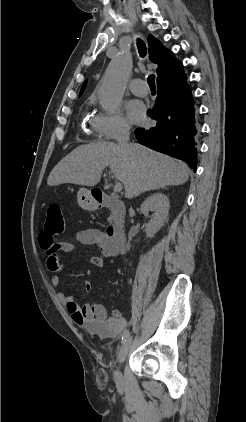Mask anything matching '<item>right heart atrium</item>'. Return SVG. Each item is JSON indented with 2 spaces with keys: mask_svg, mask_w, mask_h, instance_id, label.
Instances as JSON below:
<instances>
[{
  "mask_svg": "<svg viewBox=\"0 0 246 422\" xmlns=\"http://www.w3.org/2000/svg\"><path fill=\"white\" fill-rule=\"evenodd\" d=\"M91 126L96 136L105 141L119 139L130 130L129 121L119 112L99 113L92 119Z\"/></svg>",
  "mask_w": 246,
  "mask_h": 422,
  "instance_id": "1",
  "label": "right heart atrium"
}]
</instances>
